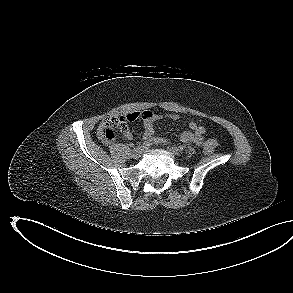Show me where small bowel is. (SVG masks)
<instances>
[{
  "instance_id": "obj_1",
  "label": "small bowel",
  "mask_w": 293,
  "mask_h": 293,
  "mask_svg": "<svg viewBox=\"0 0 293 293\" xmlns=\"http://www.w3.org/2000/svg\"><path fill=\"white\" fill-rule=\"evenodd\" d=\"M128 122L134 121L138 118H141L144 125L143 137L148 142L152 143H165L166 141L162 138L155 136L154 125L156 122L165 118L162 114H157L149 110L142 112H132L124 116ZM170 119L176 121L179 119L178 114H172L169 116ZM102 127V123L99 125L98 130ZM190 131H185L180 135V140L184 143L194 144L197 146L207 147L212 146L215 148L217 146V141L215 139H205L206 129L204 126L198 124L197 122L189 123ZM124 137L127 140H132L133 135L129 129L125 130L123 133Z\"/></svg>"
}]
</instances>
